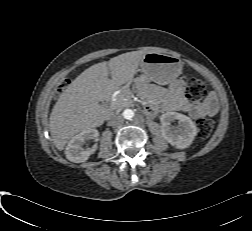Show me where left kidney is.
I'll return each instance as SVG.
<instances>
[{
	"label": "left kidney",
	"mask_w": 252,
	"mask_h": 231,
	"mask_svg": "<svg viewBox=\"0 0 252 231\" xmlns=\"http://www.w3.org/2000/svg\"><path fill=\"white\" fill-rule=\"evenodd\" d=\"M168 117L170 119L178 120L180 124V134L170 133L167 137L169 143L178 149L189 147L197 133L195 124L189 117L183 114L173 112L170 113Z\"/></svg>",
	"instance_id": "5707ae66"
}]
</instances>
